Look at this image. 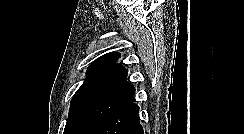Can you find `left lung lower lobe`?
<instances>
[{"instance_id": "obj_1", "label": "left lung lower lobe", "mask_w": 244, "mask_h": 134, "mask_svg": "<svg viewBox=\"0 0 244 134\" xmlns=\"http://www.w3.org/2000/svg\"><path fill=\"white\" fill-rule=\"evenodd\" d=\"M138 111L139 107L131 101L108 117L94 134H144Z\"/></svg>"}]
</instances>
